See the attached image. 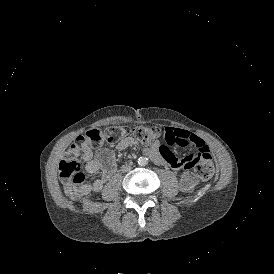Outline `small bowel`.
<instances>
[{
	"label": "small bowel",
	"mask_w": 274,
	"mask_h": 274,
	"mask_svg": "<svg viewBox=\"0 0 274 274\" xmlns=\"http://www.w3.org/2000/svg\"><path fill=\"white\" fill-rule=\"evenodd\" d=\"M164 144L159 143L143 148V151L151 158V160L160 166L170 165L173 168H190L193 165L196 174L202 179H208L213 174L214 158L210 155L207 143L196 134L183 129L168 126L164 130ZM136 142L132 137H123L116 145L117 150H122L135 145ZM198 147L199 153L191 156L186 154L178 155L175 149L179 146L187 145ZM82 157L85 163V169L88 173L93 174L101 171V177L95 179L91 184H83L79 195L86 196L90 192L98 193L103 189L105 182L112 176L116 170V163L113 153L105 148L98 147L93 149L91 143L83 142L80 147ZM168 157L169 163L162 157Z\"/></svg>",
	"instance_id": "obj_1"
}]
</instances>
